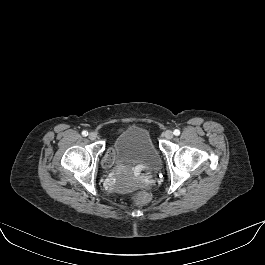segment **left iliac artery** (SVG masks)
Masks as SVG:
<instances>
[{"label": "left iliac artery", "instance_id": "left-iliac-artery-1", "mask_svg": "<svg viewBox=\"0 0 265 265\" xmlns=\"http://www.w3.org/2000/svg\"><path fill=\"white\" fill-rule=\"evenodd\" d=\"M173 133H174L175 136H178V135H180V130L175 129Z\"/></svg>", "mask_w": 265, "mask_h": 265}]
</instances>
